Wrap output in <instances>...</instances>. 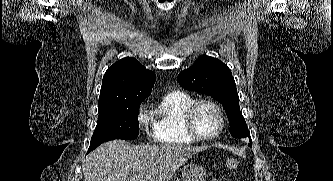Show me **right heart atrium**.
I'll list each match as a JSON object with an SVG mask.
<instances>
[{"label":"right heart atrium","instance_id":"d8ad5b80","mask_svg":"<svg viewBox=\"0 0 333 181\" xmlns=\"http://www.w3.org/2000/svg\"><path fill=\"white\" fill-rule=\"evenodd\" d=\"M151 116L145 111V107L142 105L138 113V121L142 127H147L151 122Z\"/></svg>","mask_w":333,"mask_h":181}]
</instances>
